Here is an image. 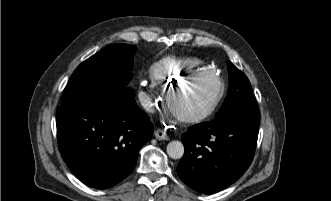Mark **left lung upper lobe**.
I'll return each mask as SVG.
<instances>
[{
	"mask_svg": "<svg viewBox=\"0 0 331 201\" xmlns=\"http://www.w3.org/2000/svg\"><path fill=\"white\" fill-rule=\"evenodd\" d=\"M229 72L230 89L226 102L217 117L240 111L257 109L253 97L251 84L246 75L238 70L231 62L227 63Z\"/></svg>",
	"mask_w": 331,
	"mask_h": 201,
	"instance_id": "obj_1",
	"label": "left lung upper lobe"
}]
</instances>
